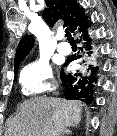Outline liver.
<instances>
[{
  "instance_id": "obj_1",
  "label": "liver",
  "mask_w": 117,
  "mask_h": 136,
  "mask_svg": "<svg viewBox=\"0 0 117 136\" xmlns=\"http://www.w3.org/2000/svg\"><path fill=\"white\" fill-rule=\"evenodd\" d=\"M81 107L80 101L32 97L8 121L5 136H61L67 127L79 124Z\"/></svg>"
}]
</instances>
